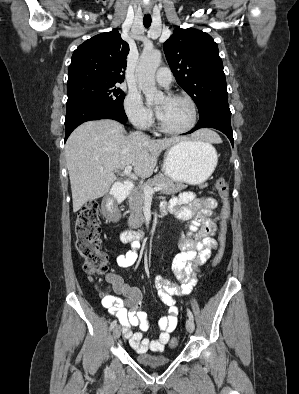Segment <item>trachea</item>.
<instances>
[{
  "mask_svg": "<svg viewBox=\"0 0 299 394\" xmlns=\"http://www.w3.org/2000/svg\"><path fill=\"white\" fill-rule=\"evenodd\" d=\"M151 15L150 14H145L143 18V24L146 28H149L151 25Z\"/></svg>",
  "mask_w": 299,
  "mask_h": 394,
  "instance_id": "1",
  "label": "trachea"
}]
</instances>
